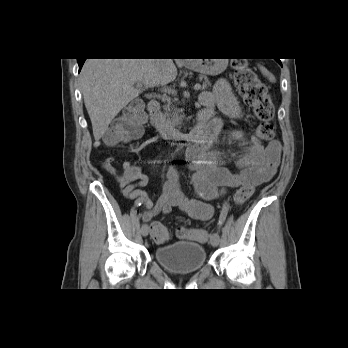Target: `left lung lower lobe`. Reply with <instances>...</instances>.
Segmentation results:
<instances>
[{
    "label": "left lung lower lobe",
    "instance_id": "obj_1",
    "mask_svg": "<svg viewBox=\"0 0 348 348\" xmlns=\"http://www.w3.org/2000/svg\"><path fill=\"white\" fill-rule=\"evenodd\" d=\"M281 66H282V64H281V61L280 60H276Z\"/></svg>",
    "mask_w": 348,
    "mask_h": 348
}]
</instances>
